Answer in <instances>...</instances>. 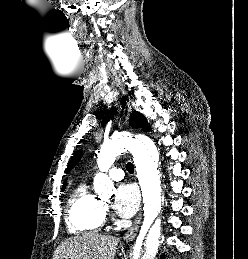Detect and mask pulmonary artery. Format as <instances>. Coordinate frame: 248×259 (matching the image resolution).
<instances>
[{
	"label": "pulmonary artery",
	"instance_id": "obj_1",
	"mask_svg": "<svg viewBox=\"0 0 248 259\" xmlns=\"http://www.w3.org/2000/svg\"><path fill=\"white\" fill-rule=\"evenodd\" d=\"M108 174L115 181L121 180L124 176L123 170L120 168H112L109 170Z\"/></svg>",
	"mask_w": 248,
	"mask_h": 259
}]
</instances>
